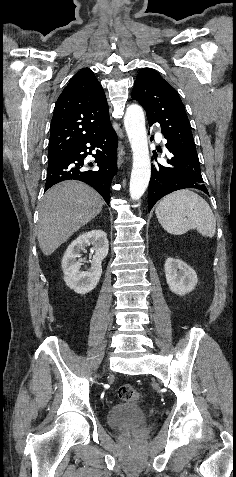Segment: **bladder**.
Returning <instances> with one entry per match:
<instances>
[{
    "instance_id": "bladder-1",
    "label": "bladder",
    "mask_w": 236,
    "mask_h": 477,
    "mask_svg": "<svg viewBox=\"0 0 236 477\" xmlns=\"http://www.w3.org/2000/svg\"><path fill=\"white\" fill-rule=\"evenodd\" d=\"M145 419L144 411L135 402L124 400L112 405L106 415L107 425L115 431L136 427Z\"/></svg>"
}]
</instances>
